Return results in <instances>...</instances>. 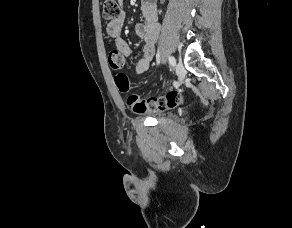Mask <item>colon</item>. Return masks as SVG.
<instances>
[{
  "instance_id": "1",
  "label": "colon",
  "mask_w": 292,
  "mask_h": 228,
  "mask_svg": "<svg viewBox=\"0 0 292 228\" xmlns=\"http://www.w3.org/2000/svg\"><path fill=\"white\" fill-rule=\"evenodd\" d=\"M121 8L118 0H105L103 4V18L110 22L118 20L121 16ZM108 61L113 69H120L123 64V58L116 51H111L108 56ZM115 83L119 90L123 93L129 89L127 77L119 73L115 77ZM183 96L177 91H171L164 96L149 97L143 99L138 95H130L127 99L129 108L137 113L144 114L152 111H165L173 109L183 102Z\"/></svg>"
}]
</instances>
